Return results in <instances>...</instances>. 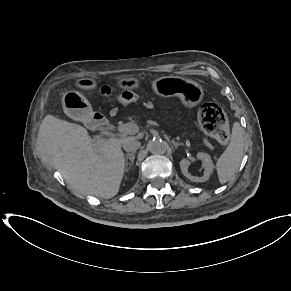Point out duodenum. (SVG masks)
<instances>
[{
    "instance_id": "duodenum-1",
    "label": "duodenum",
    "mask_w": 291,
    "mask_h": 291,
    "mask_svg": "<svg viewBox=\"0 0 291 291\" xmlns=\"http://www.w3.org/2000/svg\"><path fill=\"white\" fill-rule=\"evenodd\" d=\"M89 125L94 130H104L109 129L111 124L110 122L99 112H93L90 116Z\"/></svg>"
}]
</instances>
